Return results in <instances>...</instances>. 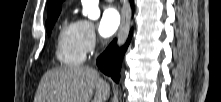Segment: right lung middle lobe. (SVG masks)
<instances>
[{
  "mask_svg": "<svg viewBox=\"0 0 221 102\" xmlns=\"http://www.w3.org/2000/svg\"><path fill=\"white\" fill-rule=\"evenodd\" d=\"M60 13V10L53 13L50 17H48L47 21H46V29H47V33L50 34L51 33V29L56 21V19L58 18Z\"/></svg>",
  "mask_w": 221,
  "mask_h": 102,
  "instance_id": "dd1d6c3e",
  "label": "right lung middle lobe"
}]
</instances>
